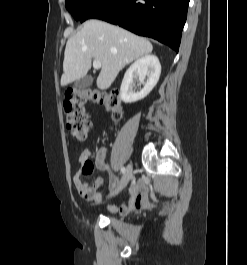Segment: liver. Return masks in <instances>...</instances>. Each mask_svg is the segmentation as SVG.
<instances>
[{"label":"liver","mask_w":247,"mask_h":265,"mask_svg":"<svg viewBox=\"0 0 247 265\" xmlns=\"http://www.w3.org/2000/svg\"><path fill=\"white\" fill-rule=\"evenodd\" d=\"M152 50L145 38L103 21L88 20L66 43L61 86L86 76L94 59L101 63L96 84L107 89L126 65Z\"/></svg>","instance_id":"liver-1"}]
</instances>
